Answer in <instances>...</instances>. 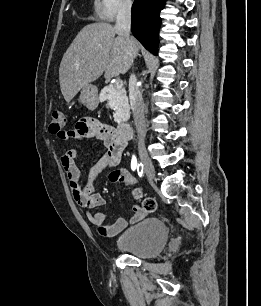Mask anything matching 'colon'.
<instances>
[{
  "instance_id": "obj_1",
  "label": "colon",
  "mask_w": 261,
  "mask_h": 306,
  "mask_svg": "<svg viewBox=\"0 0 261 306\" xmlns=\"http://www.w3.org/2000/svg\"><path fill=\"white\" fill-rule=\"evenodd\" d=\"M65 126V116L64 113L59 110L55 109L51 115V122H50V132L57 135L59 138H62L65 135L66 130L64 129ZM111 179L114 182H132L133 177L128 174L125 170H117L111 175ZM134 196L137 199H141V207L145 212L151 213L154 212L157 208L156 201L151 197H142L140 191L135 190Z\"/></svg>"
}]
</instances>
